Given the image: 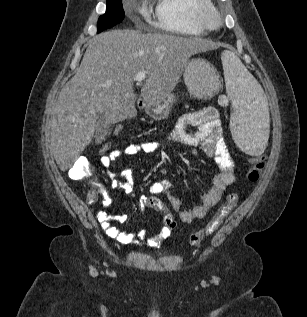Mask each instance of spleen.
Instances as JSON below:
<instances>
[{"instance_id":"1","label":"spleen","mask_w":307,"mask_h":317,"mask_svg":"<svg viewBox=\"0 0 307 317\" xmlns=\"http://www.w3.org/2000/svg\"><path fill=\"white\" fill-rule=\"evenodd\" d=\"M221 59L226 91L236 108L230 121L232 137L242 151L259 155L269 137V112L263 90L234 53L224 51Z\"/></svg>"}]
</instances>
